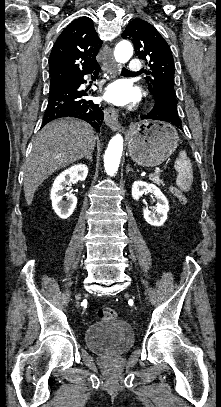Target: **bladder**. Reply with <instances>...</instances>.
Masks as SVG:
<instances>
[{"instance_id":"31cf9c89","label":"bladder","mask_w":221,"mask_h":407,"mask_svg":"<svg viewBox=\"0 0 221 407\" xmlns=\"http://www.w3.org/2000/svg\"><path fill=\"white\" fill-rule=\"evenodd\" d=\"M87 347L101 355H119L134 344V330L124 320L97 322L85 330Z\"/></svg>"}]
</instances>
